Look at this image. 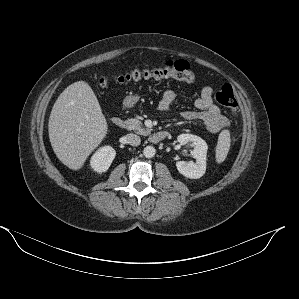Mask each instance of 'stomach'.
Segmentation results:
<instances>
[{
  "mask_svg": "<svg viewBox=\"0 0 299 299\" xmlns=\"http://www.w3.org/2000/svg\"><path fill=\"white\" fill-rule=\"evenodd\" d=\"M137 100H138L137 96L130 97L129 100L127 101V105L132 106L137 102Z\"/></svg>",
  "mask_w": 299,
  "mask_h": 299,
  "instance_id": "1",
  "label": "stomach"
}]
</instances>
